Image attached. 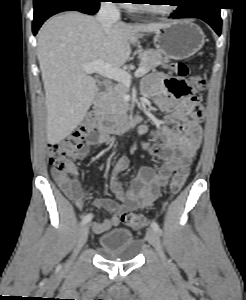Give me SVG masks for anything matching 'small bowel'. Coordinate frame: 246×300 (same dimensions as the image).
I'll return each mask as SVG.
<instances>
[{
    "label": "small bowel",
    "instance_id": "obj_1",
    "mask_svg": "<svg viewBox=\"0 0 246 300\" xmlns=\"http://www.w3.org/2000/svg\"><path fill=\"white\" fill-rule=\"evenodd\" d=\"M187 88L188 84L184 80L163 73H153L143 81V94L155 98L158 107L166 112L167 116L157 130H150L146 124L139 126L140 135L150 136L149 139L141 141V147L147 154L159 158L162 165L158 171L150 167L140 169L125 192L119 176L128 167L129 161L126 158L117 161L112 171L111 189L119 203L110 199H98L94 202L96 208L105 210L111 215L107 220L93 223L95 233H104L118 225L125 211L149 208L159 197L161 188L168 183L174 170L192 161L202 140L200 126L202 116L198 118L191 114L193 101ZM109 140L108 134H100L91 140L89 146L95 149ZM87 152V149L84 150L78 157L84 158ZM74 172L72 174L53 172V176L62 191L77 208H81L83 191L78 180L72 176Z\"/></svg>",
    "mask_w": 246,
    "mask_h": 300
}]
</instances>
